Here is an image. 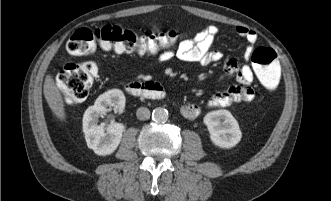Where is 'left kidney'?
<instances>
[{"label": "left kidney", "mask_w": 331, "mask_h": 201, "mask_svg": "<svg viewBox=\"0 0 331 201\" xmlns=\"http://www.w3.org/2000/svg\"><path fill=\"white\" fill-rule=\"evenodd\" d=\"M210 133L211 141L220 148H232L242 138L237 120L228 110H215L203 119Z\"/></svg>", "instance_id": "left-kidney-1"}]
</instances>
